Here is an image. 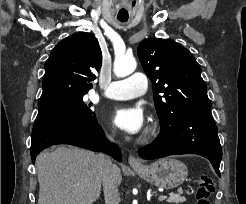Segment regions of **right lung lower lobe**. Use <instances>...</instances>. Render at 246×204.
I'll use <instances>...</instances> for the list:
<instances>
[{
	"instance_id": "1",
	"label": "right lung lower lobe",
	"mask_w": 246,
	"mask_h": 204,
	"mask_svg": "<svg viewBox=\"0 0 246 204\" xmlns=\"http://www.w3.org/2000/svg\"><path fill=\"white\" fill-rule=\"evenodd\" d=\"M57 144H70L92 151H103L117 161L122 160L120 149L105 139L95 116L81 119L52 111L38 112L32 130L30 150L33 163L43 149Z\"/></svg>"
}]
</instances>
